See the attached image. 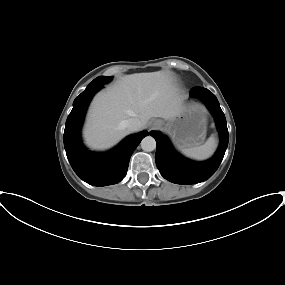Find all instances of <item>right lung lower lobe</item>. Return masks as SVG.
I'll use <instances>...</instances> for the list:
<instances>
[{"mask_svg": "<svg viewBox=\"0 0 285 285\" xmlns=\"http://www.w3.org/2000/svg\"><path fill=\"white\" fill-rule=\"evenodd\" d=\"M101 87L85 90L74 100L64 131V147L73 170L83 181L94 186L120 182L127 173L132 153L149 135L146 131L130 135L106 153L88 151L81 142L80 129L88 104Z\"/></svg>", "mask_w": 285, "mask_h": 285, "instance_id": "98d812e1", "label": "right lung lower lobe"}]
</instances>
